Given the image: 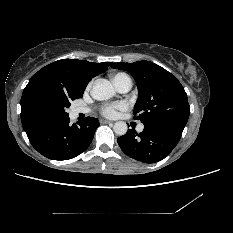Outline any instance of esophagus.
Wrapping results in <instances>:
<instances>
[{
    "instance_id": "esophagus-1",
    "label": "esophagus",
    "mask_w": 233,
    "mask_h": 233,
    "mask_svg": "<svg viewBox=\"0 0 233 233\" xmlns=\"http://www.w3.org/2000/svg\"><path fill=\"white\" fill-rule=\"evenodd\" d=\"M101 123H103V124H113V122L108 121V120H101Z\"/></svg>"
}]
</instances>
